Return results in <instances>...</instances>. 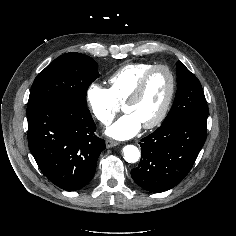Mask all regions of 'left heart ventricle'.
Here are the masks:
<instances>
[{
	"instance_id": "left-heart-ventricle-1",
	"label": "left heart ventricle",
	"mask_w": 236,
	"mask_h": 236,
	"mask_svg": "<svg viewBox=\"0 0 236 236\" xmlns=\"http://www.w3.org/2000/svg\"><path fill=\"white\" fill-rule=\"evenodd\" d=\"M169 77L164 70L155 71L149 78L140 98L125 107L142 125L153 121L160 113L169 91Z\"/></svg>"
}]
</instances>
